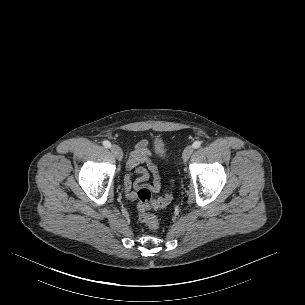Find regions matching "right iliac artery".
<instances>
[{"label": "right iliac artery", "mask_w": 305, "mask_h": 305, "mask_svg": "<svg viewBox=\"0 0 305 305\" xmlns=\"http://www.w3.org/2000/svg\"><path fill=\"white\" fill-rule=\"evenodd\" d=\"M103 146L106 148H110L111 147V143L108 140L103 141Z\"/></svg>", "instance_id": "obj_1"}]
</instances>
